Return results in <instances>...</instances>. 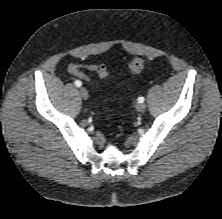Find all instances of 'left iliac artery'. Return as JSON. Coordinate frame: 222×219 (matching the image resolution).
Returning a JSON list of instances; mask_svg holds the SVG:
<instances>
[{"label":"left iliac artery","mask_w":222,"mask_h":219,"mask_svg":"<svg viewBox=\"0 0 222 219\" xmlns=\"http://www.w3.org/2000/svg\"><path fill=\"white\" fill-rule=\"evenodd\" d=\"M144 100H145L144 97H139V98H138V101H139V102H144Z\"/></svg>","instance_id":"44dca946"}]
</instances>
